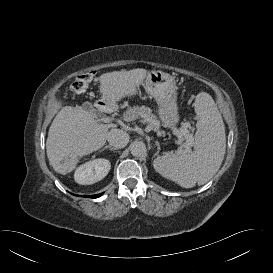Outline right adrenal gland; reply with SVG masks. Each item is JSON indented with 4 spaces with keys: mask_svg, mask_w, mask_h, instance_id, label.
Wrapping results in <instances>:
<instances>
[{
    "mask_svg": "<svg viewBox=\"0 0 273 273\" xmlns=\"http://www.w3.org/2000/svg\"><path fill=\"white\" fill-rule=\"evenodd\" d=\"M107 148L110 149L111 151L117 150L116 148L111 147L110 145H106V146H104V147L100 150V152L104 151V150L107 149Z\"/></svg>",
    "mask_w": 273,
    "mask_h": 273,
    "instance_id": "obj_1",
    "label": "right adrenal gland"
}]
</instances>
